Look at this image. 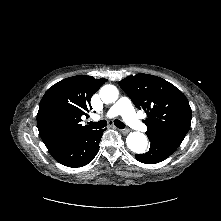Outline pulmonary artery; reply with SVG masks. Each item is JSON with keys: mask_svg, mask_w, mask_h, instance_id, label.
I'll return each instance as SVG.
<instances>
[{"mask_svg": "<svg viewBox=\"0 0 221 221\" xmlns=\"http://www.w3.org/2000/svg\"><path fill=\"white\" fill-rule=\"evenodd\" d=\"M120 115L123 120L136 130H142L144 124L136 115L129 98H120L105 114L104 117L112 118Z\"/></svg>", "mask_w": 221, "mask_h": 221, "instance_id": "pulmonary-artery-1", "label": "pulmonary artery"}]
</instances>
